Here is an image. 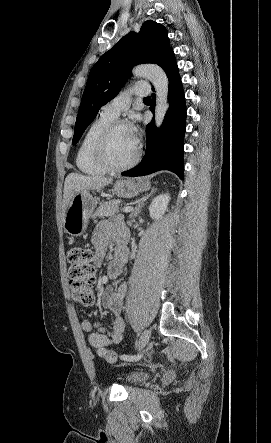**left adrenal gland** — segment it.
Returning <instances> with one entry per match:
<instances>
[{
	"label": "left adrenal gland",
	"mask_w": 271,
	"mask_h": 443,
	"mask_svg": "<svg viewBox=\"0 0 271 443\" xmlns=\"http://www.w3.org/2000/svg\"><path fill=\"white\" fill-rule=\"evenodd\" d=\"M156 188H153V190H151L150 194H148V196H144V198H142L141 202H138L133 214H131L130 218H136V216H138V214H140L141 212V208H143L146 200H148V198H150L151 194H153V192H155Z\"/></svg>",
	"instance_id": "a2214340"
}]
</instances>
